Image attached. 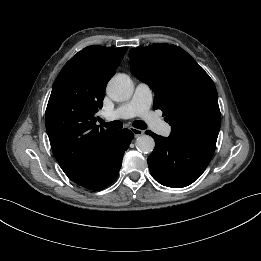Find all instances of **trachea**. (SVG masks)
<instances>
[{"label": "trachea", "mask_w": 261, "mask_h": 261, "mask_svg": "<svg viewBox=\"0 0 261 261\" xmlns=\"http://www.w3.org/2000/svg\"><path fill=\"white\" fill-rule=\"evenodd\" d=\"M101 125L103 127H106V128H109V129H121L123 127V124L122 122L116 120V121H112V122H109V123H106L105 121L101 120L100 121ZM132 125L135 127V128H138V129H146L147 125L144 121H134L132 123Z\"/></svg>", "instance_id": "1"}]
</instances>
